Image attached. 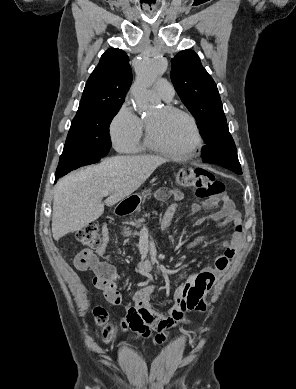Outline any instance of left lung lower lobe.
Returning <instances> with one entry per match:
<instances>
[{"label": "left lung lower lobe", "instance_id": "0a47b994", "mask_svg": "<svg viewBox=\"0 0 296 389\" xmlns=\"http://www.w3.org/2000/svg\"><path fill=\"white\" fill-rule=\"evenodd\" d=\"M203 162L213 163L227 168L236 174H242L236 146L228 125L216 131L209 142L201 149Z\"/></svg>", "mask_w": 296, "mask_h": 389}]
</instances>
